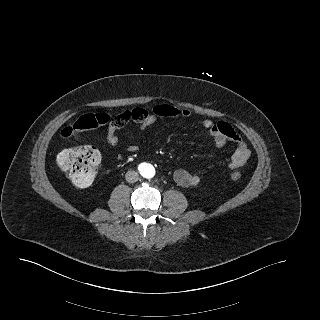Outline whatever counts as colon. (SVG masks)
<instances>
[{
	"label": "colon",
	"mask_w": 320,
	"mask_h": 320,
	"mask_svg": "<svg viewBox=\"0 0 320 320\" xmlns=\"http://www.w3.org/2000/svg\"><path fill=\"white\" fill-rule=\"evenodd\" d=\"M119 119L118 117L110 118L109 115L87 114L70 127L62 130V136L65 138L74 137L79 131L92 130L111 123ZM59 168L79 187L89 186L97 173L100 164V154L93 146H78L65 149L57 157ZM231 178L237 181L241 178L239 172H233Z\"/></svg>",
	"instance_id": "1"
}]
</instances>
